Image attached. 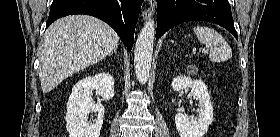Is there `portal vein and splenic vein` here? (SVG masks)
<instances>
[{"mask_svg": "<svg viewBox=\"0 0 280 137\" xmlns=\"http://www.w3.org/2000/svg\"><path fill=\"white\" fill-rule=\"evenodd\" d=\"M193 52H196V49H195V48L193 49Z\"/></svg>", "mask_w": 280, "mask_h": 137, "instance_id": "portal-vein-and-splenic-vein-1", "label": "portal vein and splenic vein"}]
</instances>
